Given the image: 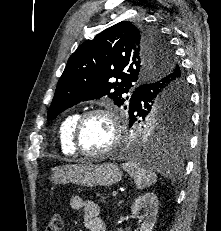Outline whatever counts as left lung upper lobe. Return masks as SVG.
I'll return each instance as SVG.
<instances>
[{
  "instance_id": "obj_1",
  "label": "left lung upper lobe",
  "mask_w": 221,
  "mask_h": 231,
  "mask_svg": "<svg viewBox=\"0 0 221 231\" xmlns=\"http://www.w3.org/2000/svg\"><path fill=\"white\" fill-rule=\"evenodd\" d=\"M174 71L178 72L179 78L173 80L178 86L171 95L170 92L152 94L139 106L132 101L129 106H124L128 97L123 95L142 80L156 81ZM183 78L168 40L157 28L122 21L102 31L93 40L85 41L70 56L47 118L53 119L81 101L107 95L116 105L129 109L130 122L155 116L158 123L154 129L156 134L162 135L167 129L176 131L173 136L185 134L189 123V96L179 85ZM174 93L186 100L183 106L176 108L171 103L170 97Z\"/></svg>"
}]
</instances>
